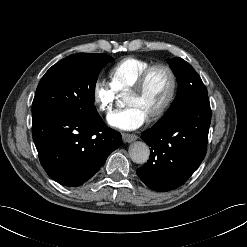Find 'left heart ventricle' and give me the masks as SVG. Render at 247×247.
<instances>
[{
	"label": "left heart ventricle",
	"instance_id": "b2bd125f",
	"mask_svg": "<svg viewBox=\"0 0 247 247\" xmlns=\"http://www.w3.org/2000/svg\"><path fill=\"white\" fill-rule=\"evenodd\" d=\"M169 88V75L163 69H157L148 78L142 92L128 94L126 104L139 107L149 117L162 105L167 97Z\"/></svg>",
	"mask_w": 247,
	"mask_h": 247
}]
</instances>
